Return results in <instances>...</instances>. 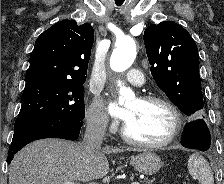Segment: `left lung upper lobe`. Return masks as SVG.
I'll use <instances>...</instances> for the list:
<instances>
[{"label": "left lung upper lobe", "mask_w": 224, "mask_h": 184, "mask_svg": "<svg viewBox=\"0 0 224 184\" xmlns=\"http://www.w3.org/2000/svg\"><path fill=\"white\" fill-rule=\"evenodd\" d=\"M151 74L166 96L193 119L201 116L203 95L196 43L179 24L164 21L144 32Z\"/></svg>", "instance_id": "1"}]
</instances>
